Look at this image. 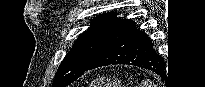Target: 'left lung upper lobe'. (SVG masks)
Here are the masks:
<instances>
[{"mask_svg":"<svg viewBox=\"0 0 205 87\" xmlns=\"http://www.w3.org/2000/svg\"><path fill=\"white\" fill-rule=\"evenodd\" d=\"M123 20L113 12L95 17L60 64L52 87H66L79 78Z\"/></svg>","mask_w":205,"mask_h":87,"instance_id":"left-lung-upper-lobe-1","label":"left lung upper lobe"}]
</instances>
